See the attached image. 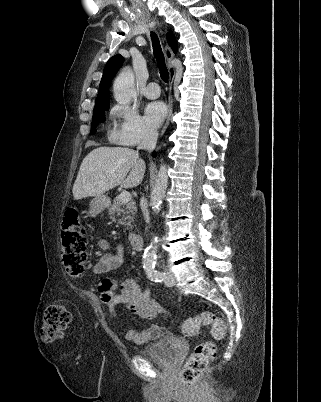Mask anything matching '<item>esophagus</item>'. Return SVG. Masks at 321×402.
I'll list each match as a JSON object with an SVG mask.
<instances>
[{
  "mask_svg": "<svg viewBox=\"0 0 321 402\" xmlns=\"http://www.w3.org/2000/svg\"><path fill=\"white\" fill-rule=\"evenodd\" d=\"M164 53H165L166 60L168 62L169 84H170V86H172V84L174 82V78H175V67L172 64V60L174 58V53H173L171 47L167 43L164 46ZM172 111H173V100H172V96L170 95L169 104H168V115H167L166 123L163 127L161 135H163V133L165 132L166 128L169 125V122L172 117Z\"/></svg>",
  "mask_w": 321,
  "mask_h": 402,
  "instance_id": "34e87169",
  "label": "esophagus"
}]
</instances>
